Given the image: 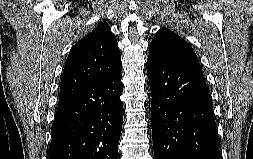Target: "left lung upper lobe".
<instances>
[{
	"mask_svg": "<svg viewBox=\"0 0 253 159\" xmlns=\"http://www.w3.org/2000/svg\"><path fill=\"white\" fill-rule=\"evenodd\" d=\"M150 59L166 63L198 65L199 61L191 46L167 28H161L149 47Z\"/></svg>",
	"mask_w": 253,
	"mask_h": 159,
	"instance_id": "1",
	"label": "left lung upper lobe"
}]
</instances>
